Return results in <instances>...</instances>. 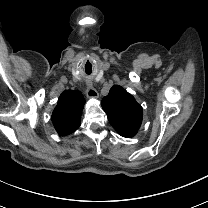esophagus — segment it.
Masks as SVG:
<instances>
[{
    "label": "esophagus",
    "mask_w": 208,
    "mask_h": 208,
    "mask_svg": "<svg viewBox=\"0 0 208 208\" xmlns=\"http://www.w3.org/2000/svg\"><path fill=\"white\" fill-rule=\"evenodd\" d=\"M87 85V90H86V94L88 98H98V92L97 90L93 87L92 82L88 81L86 83Z\"/></svg>",
    "instance_id": "1"
}]
</instances>
